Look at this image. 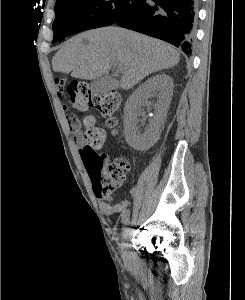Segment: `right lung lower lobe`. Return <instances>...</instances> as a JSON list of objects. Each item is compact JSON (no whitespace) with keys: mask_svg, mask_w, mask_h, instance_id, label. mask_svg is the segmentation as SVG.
Returning <instances> with one entry per match:
<instances>
[{"mask_svg":"<svg viewBox=\"0 0 245 300\" xmlns=\"http://www.w3.org/2000/svg\"><path fill=\"white\" fill-rule=\"evenodd\" d=\"M196 9L197 0H147L115 24L167 41L190 55ZM58 26L63 27L64 22Z\"/></svg>","mask_w":245,"mask_h":300,"instance_id":"98d812e1","label":"right lung lower lobe"}]
</instances>
